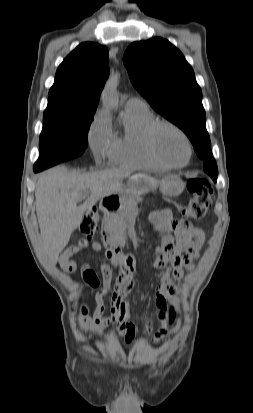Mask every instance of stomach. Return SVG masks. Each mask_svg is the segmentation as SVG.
Returning a JSON list of instances; mask_svg holds the SVG:
<instances>
[{"instance_id":"1","label":"stomach","mask_w":253,"mask_h":413,"mask_svg":"<svg viewBox=\"0 0 253 413\" xmlns=\"http://www.w3.org/2000/svg\"><path fill=\"white\" fill-rule=\"evenodd\" d=\"M158 187L162 194L168 197H177L183 192L185 184L178 176H166L158 181L147 174L137 173L130 176L118 192L105 197L102 202L106 205L109 203L122 205L130 197L154 192Z\"/></svg>"}]
</instances>
